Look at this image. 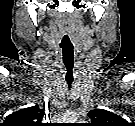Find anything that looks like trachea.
Instances as JSON below:
<instances>
[{
  "instance_id": "1",
  "label": "trachea",
  "mask_w": 135,
  "mask_h": 126,
  "mask_svg": "<svg viewBox=\"0 0 135 126\" xmlns=\"http://www.w3.org/2000/svg\"><path fill=\"white\" fill-rule=\"evenodd\" d=\"M64 65L66 71V83L68 88L70 89L73 83V67H74V58L73 55L70 57L64 56Z\"/></svg>"
}]
</instances>
